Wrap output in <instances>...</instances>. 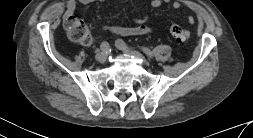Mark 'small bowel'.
Segmentation results:
<instances>
[{"mask_svg":"<svg viewBox=\"0 0 253 138\" xmlns=\"http://www.w3.org/2000/svg\"><path fill=\"white\" fill-rule=\"evenodd\" d=\"M105 2L107 0H68L65 4V13L64 18L70 17L77 7V2L82 4H88L92 2ZM171 0H150V5L154 8L169 4ZM172 8L178 10L182 7V3L180 1H174L171 4ZM148 20V15L144 13L140 17H134L133 22L136 24L135 26H119V25H103L102 30L108 31L114 34L122 35V36H137V35H145L149 34L153 31L150 26L146 25ZM189 23H194L195 19L193 17H188Z\"/></svg>","mask_w":253,"mask_h":138,"instance_id":"obj_1","label":"small bowel"}]
</instances>
